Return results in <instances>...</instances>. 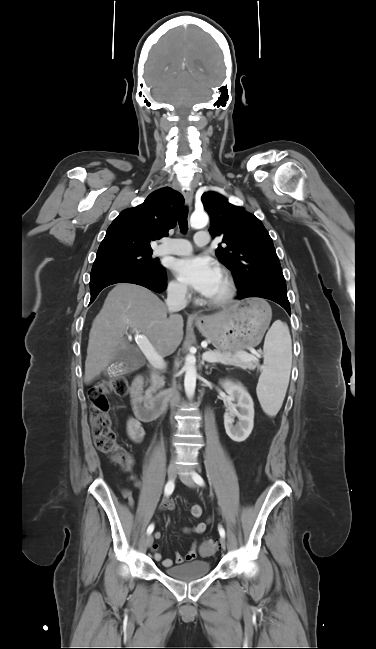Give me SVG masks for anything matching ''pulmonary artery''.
I'll list each match as a JSON object with an SVG mask.
<instances>
[{
    "instance_id": "pulmonary-artery-1",
    "label": "pulmonary artery",
    "mask_w": 376,
    "mask_h": 649,
    "mask_svg": "<svg viewBox=\"0 0 376 649\" xmlns=\"http://www.w3.org/2000/svg\"><path fill=\"white\" fill-rule=\"evenodd\" d=\"M195 244L199 247H204L209 244L210 237L209 234L205 231H200L195 235L194 238ZM192 245L191 243L182 238H175L165 240L161 245L155 248V255H186L191 253Z\"/></svg>"
}]
</instances>
